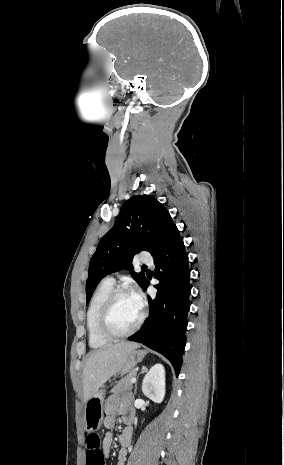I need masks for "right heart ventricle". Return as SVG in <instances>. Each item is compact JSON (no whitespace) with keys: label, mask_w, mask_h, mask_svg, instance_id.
Segmentation results:
<instances>
[{"label":"right heart ventricle","mask_w":284,"mask_h":465,"mask_svg":"<svg viewBox=\"0 0 284 465\" xmlns=\"http://www.w3.org/2000/svg\"><path fill=\"white\" fill-rule=\"evenodd\" d=\"M113 286L114 284L101 281L91 296L85 319L89 346H108L110 344L109 341L99 336L97 321L106 299L113 291Z\"/></svg>","instance_id":"e07e8e85"}]
</instances>
